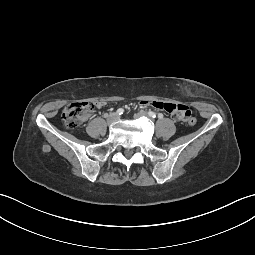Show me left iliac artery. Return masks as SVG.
<instances>
[{
	"instance_id": "44dca946",
	"label": "left iliac artery",
	"mask_w": 255,
	"mask_h": 255,
	"mask_svg": "<svg viewBox=\"0 0 255 255\" xmlns=\"http://www.w3.org/2000/svg\"><path fill=\"white\" fill-rule=\"evenodd\" d=\"M149 116L152 117V118H155L156 117V113L152 112V111H149L148 112Z\"/></svg>"
}]
</instances>
